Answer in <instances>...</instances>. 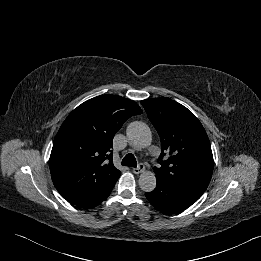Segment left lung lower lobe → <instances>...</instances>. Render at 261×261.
<instances>
[{"instance_id": "left-lung-lower-lobe-1", "label": "left lung lower lobe", "mask_w": 261, "mask_h": 261, "mask_svg": "<svg viewBox=\"0 0 261 261\" xmlns=\"http://www.w3.org/2000/svg\"><path fill=\"white\" fill-rule=\"evenodd\" d=\"M202 194L203 192L193 188L157 180L156 188L152 192H146L145 196L157 210L174 213L191 206Z\"/></svg>"}]
</instances>
